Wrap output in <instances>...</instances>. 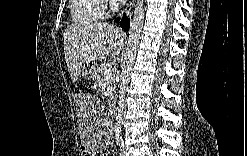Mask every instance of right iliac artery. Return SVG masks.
<instances>
[{"instance_id": "obj_1", "label": "right iliac artery", "mask_w": 247, "mask_h": 156, "mask_svg": "<svg viewBox=\"0 0 247 156\" xmlns=\"http://www.w3.org/2000/svg\"><path fill=\"white\" fill-rule=\"evenodd\" d=\"M116 132H117V134H116V136H117V144H119L120 143V140H121V137H120V135H119V132H120V130H119V128L117 127V130H116Z\"/></svg>"}]
</instances>
